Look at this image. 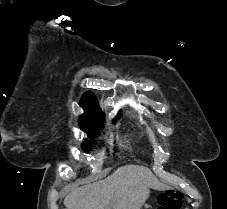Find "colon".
I'll use <instances>...</instances> for the list:
<instances>
[{
  "instance_id": "5ec220e1",
  "label": "colon",
  "mask_w": 227,
  "mask_h": 209,
  "mask_svg": "<svg viewBox=\"0 0 227 209\" xmlns=\"http://www.w3.org/2000/svg\"><path fill=\"white\" fill-rule=\"evenodd\" d=\"M183 195L176 190H166L159 195L157 209H181Z\"/></svg>"
}]
</instances>
